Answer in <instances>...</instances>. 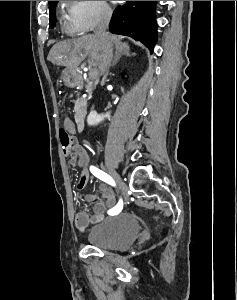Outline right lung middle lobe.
I'll use <instances>...</instances> for the list:
<instances>
[{"mask_svg":"<svg viewBox=\"0 0 237 300\" xmlns=\"http://www.w3.org/2000/svg\"><path fill=\"white\" fill-rule=\"evenodd\" d=\"M58 1H53L49 4L50 27L53 28L56 23L55 7Z\"/></svg>","mask_w":237,"mask_h":300,"instance_id":"obj_1","label":"right lung middle lobe"}]
</instances>
